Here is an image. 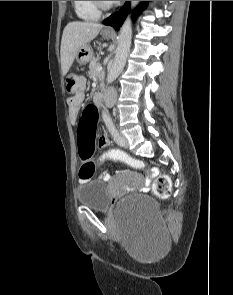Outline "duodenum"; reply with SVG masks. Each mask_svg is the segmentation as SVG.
<instances>
[{"label": "duodenum", "instance_id": "410a0bca", "mask_svg": "<svg viewBox=\"0 0 233 295\" xmlns=\"http://www.w3.org/2000/svg\"><path fill=\"white\" fill-rule=\"evenodd\" d=\"M101 98H102V94H101V93H97V94L94 96V99H93L94 104H95V105H98V104L100 103V101H101Z\"/></svg>", "mask_w": 233, "mask_h": 295}]
</instances>
